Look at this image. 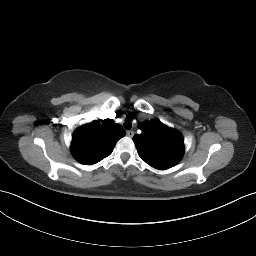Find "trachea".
<instances>
[{"label": "trachea", "instance_id": "obj_1", "mask_svg": "<svg viewBox=\"0 0 256 256\" xmlns=\"http://www.w3.org/2000/svg\"><path fill=\"white\" fill-rule=\"evenodd\" d=\"M124 128L127 129V130H130L131 127H132V123L128 120H126L123 124Z\"/></svg>", "mask_w": 256, "mask_h": 256}]
</instances>
